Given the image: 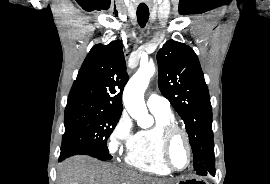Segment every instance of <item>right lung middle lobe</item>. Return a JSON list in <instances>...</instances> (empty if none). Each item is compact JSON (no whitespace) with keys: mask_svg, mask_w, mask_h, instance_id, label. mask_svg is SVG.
<instances>
[{"mask_svg":"<svg viewBox=\"0 0 270 184\" xmlns=\"http://www.w3.org/2000/svg\"><path fill=\"white\" fill-rule=\"evenodd\" d=\"M120 116L89 102L68 101L65 108V133L62 138L60 160L74 154H86L100 160L111 159L107 139Z\"/></svg>","mask_w":270,"mask_h":184,"instance_id":"dd1d6c3e","label":"right lung middle lobe"}]
</instances>
